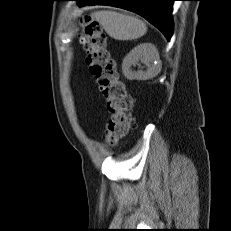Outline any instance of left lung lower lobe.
Here are the masks:
<instances>
[{
  "label": "left lung lower lobe",
  "mask_w": 231,
  "mask_h": 231,
  "mask_svg": "<svg viewBox=\"0 0 231 231\" xmlns=\"http://www.w3.org/2000/svg\"><path fill=\"white\" fill-rule=\"evenodd\" d=\"M79 6L86 4L112 5L135 12L155 27L170 40L172 36V4L176 0H74Z\"/></svg>",
  "instance_id": "0a47b994"
}]
</instances>
